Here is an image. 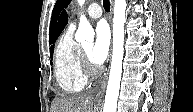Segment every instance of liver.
I'll return each instance as SVG.
<instances>
[{
	"instance_id": "liver-1",
	"label": "liver",
	"mask_w": 193,
	"mask_h": 112,
	"mask_svg": "<svg viewBox=\"0 0 193 112\" xmlns=\"http://www.w3.org/2000/svg\"><path fill=\"white\" fill-rule=\"evenodd\" d=\"M51 112H97L95 101L92 97H58L53 101Z\"/></svg>"
}]
</instances>
